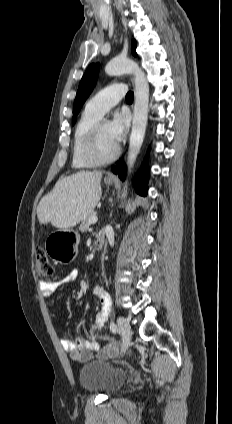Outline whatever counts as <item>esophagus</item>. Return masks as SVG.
I'll list each match as a JSON object with an SVG mask.
<instances>
[{"instance_id":"esophagus-1","label":"esophagus","mask_w":232,"mask_h":424,"mask_svg":"<svg viewBox=\"0 0 232 424\" xmlns=\"http://www.w3.org/2000/svg\"><path fill=\"white\" fill-rule=\"evenodd\" d=\"M130 80H131L132 84L134 85V77L133 76H130ZM108 178L113 179L114 177L111 176V175H108Z\"/></svg>"}]
</instances>
